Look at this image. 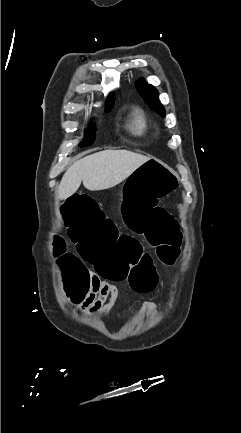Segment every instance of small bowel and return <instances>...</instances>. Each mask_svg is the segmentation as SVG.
<instances>
[{
  "label": "small bowel",
  "mask_w": 241,
  "mask_h": 433,
  "mask_svg": "<svg viewBox=\"0 0 241 433\" xmlns=\"http://www.w3.org/2000/svg\"><path fill=\"white\" fill-rule=\"evenodd\" d=\"M133 172H136V170ZM89 271L91 272V290L90 292L86 293L84 304L78 305V307L82 312L91 315H106L111 311L118 298V287L115 284L102 279L98 272H94V270ZM155 310L156 305L154 302L149 300L144 301L142 303L141 309L136 315V318L151 316L154 314Z\"/></svg>",
  "instance_id": "small-bowel-1"
}]
</instances>
